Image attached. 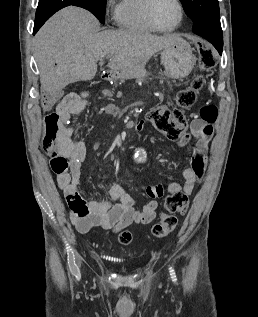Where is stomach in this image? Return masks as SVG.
Returning <instances> with one entry per match:
<instances>
[{
	"label": "stomach",
	"mask_w": 258,
	"mask_h": 317,
	"mask_svg": "<svg viewBox=\"0 0 258 317\" xmlns=\"http://www.w3.org/2000/svg\"><path fill=\"white\" fill-rule=\"evenodd\" d=\"M190 42L180 40L177 44L163 48L161 52V62L170 78H182L191 72L195 58Z\"/></svg>",
	"instance_id": "0dacf381"
}]
</instances>
